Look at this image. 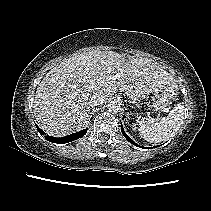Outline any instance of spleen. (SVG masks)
Segmentation results:
<instances>
[{"label":"spleen","mask_w":211,"mask_h":211,"mask_svg":"<svg viewBox=\"0 0 211 211\" xmlns=\"http://www.w3.org/2000/svg\"><path fill=\"white\" fill-rule=\"evenodd\" d=\"M184 104L178 103L167 118L146 120L140 125L141 137L151 143H159L173 137L184 120Z\"/></svg>","instance_id":"spleen-1"}]
</instances>
